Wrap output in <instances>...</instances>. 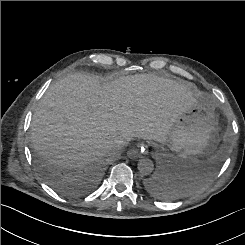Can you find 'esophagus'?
<instances>
[{
  "mask_svg": "<svg viewBox=\"0 0 245 245\" xmlns=\"http://www.w3.org/2000/svg\"><path fill=\"white\" fill-rule=\"evenodd\" d=\"M148 149L147 146L143 143L139 144L136 149L128 152V156L130 158H136L139 154H147Z\"/></svg>",
  "mask_w": 245,
  "mask_h": 245,
  "instance_id": "esophagus-1",
  "label": "esophagus"
}]
</instances>
